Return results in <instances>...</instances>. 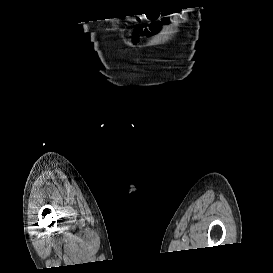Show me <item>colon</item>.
Returning a JSON list of instances; mask_svg holds the SVG:
<instances>
[{
	"instance_id": "1",
	"label": "colon",
	"mask_w": 273,
	"mask_h": 273,
	"mask_svg": "<svg viewBox=\"0 0 273 273\" xmlns=\"http://www.w3.org/2000/svg\"><path fill=\"white\" fill-rule=\"evenodd\" d=\"M141 28H137L136 31H139Z\"/></svg>"
}]
</instances>
